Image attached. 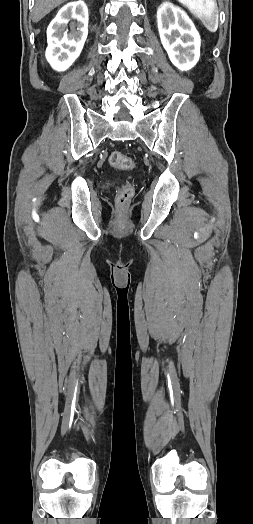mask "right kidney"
<instances>
[{
    "label": "right kidney",
    "instance_id": "obj_1",
    "mask_svg": "<svg viewBox=\"0 0 253 524\" xmlns=\"http://www.w3.org/2000/svg\"><path fill=\"white\" fill-rule=\"evenodd\" d=\"M87 35L86 4L79 0L62 7L47 29L48 47L45 56L52 68L57 71L68 69L80 55Z\"/></svg>",
    "mask_w": 253,
    "mask_h": 524
}]
</instances>
